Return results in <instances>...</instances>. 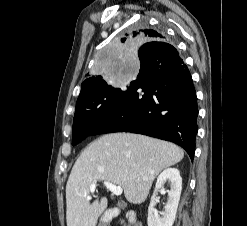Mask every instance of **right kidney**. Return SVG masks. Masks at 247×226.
Returning <instances> with one entry per match:
<instances>
[{"label":"right kidney","instance_id":"right-kidney-1","mask_svg":"<svg viewBox=\"0 0 247 226\" xmlns=\"http://www.w3.org/2000/svg\"><path fill=\"white\" fill-rule=\"evenodd\" d=\"M170 182V191H168V200L165 205V211L160 214L155 210L157 201V192L163 187V184ZM182 190V178L176 168L165 169L157 178L154 193L151 197L148 208V226H172L176 217V212Z\"/></svg>","mask_w":247,"mask_h":226}]
</instances>
